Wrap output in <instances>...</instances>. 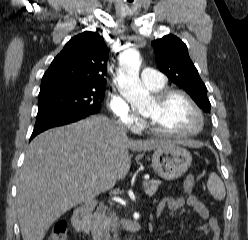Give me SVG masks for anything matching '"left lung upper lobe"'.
I'll list each match as a JSON object with an SVG mask.
<instances>
[{
  "mask_svg": "<svg viewBox=\"0 0 248 240\" xmlns=\"http://www.w3.org/2000/svg\"><path fill=\"white\" fill-rule=\"evenodd\" d=\"M152 46L159 70L183 88L204 112L210 113L207 88L189 57L187 46L174 35L157 39Z\"/></svg>",
  "mask_w": 248,
  "mask_h": 240,
  "instance_id": "1",
  "label": "left lung upper lobe"
}]
</instances>
